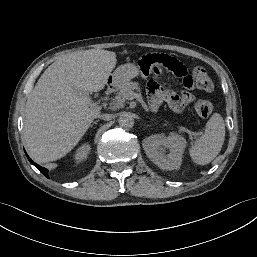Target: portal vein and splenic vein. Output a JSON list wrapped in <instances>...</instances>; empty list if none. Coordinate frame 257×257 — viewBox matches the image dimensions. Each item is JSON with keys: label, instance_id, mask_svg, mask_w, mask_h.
Returning <instances> with one entry per match:
<instances>
[{"label": "portal vein and splenic vein", "instance_id": "1", "mask_svg": "<svg viewBox=\"0 0 257 257\" xmlns=\"http://www.w3.org/2000/svg\"><path fill=\"white\" fill-rule=\"evenodd\" d=\"M134 98H136V93H131L130 95H129V100H133ZM181 130H184V131H186L185 130V128H181Z\"/></svg>", "mask_w": 257, "mask_h": 257}]
</instances>
